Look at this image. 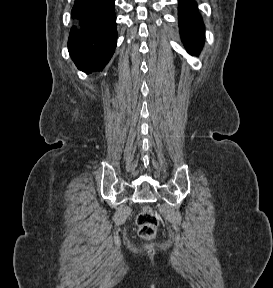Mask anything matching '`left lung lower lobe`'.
<instances>
[{"instance_id": "0a47b994", "label": "left lung lower lobe", "mask_w": 273, "mask_h": 288, "mask_svg": "<svg viewBox=\"0 0 273 288\" xmlns=\"http://www.w3.org/2000/svg\"><path fill=\"white\" fill-rule=\"evenodd\" d=\"M179 26L188 52L198 54L204 41V27L194 0H179Z\"/></svg>"}]
</instances>
